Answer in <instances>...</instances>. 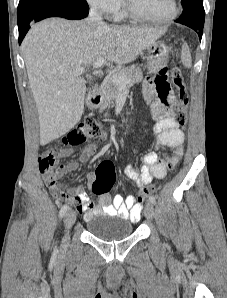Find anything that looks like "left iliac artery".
I'll use <instances>...</instances> for the list:
<instances>
[{
    "instance_id": "44dca946",
    "label": "left iliac artery",
    "mask_w": 227,
    "mask_h": 298,
    "mask_svg": "<svg viewBox=\"0 0 227 298\" xmlns=\"http://www.w3.org/2000/svg\"><path fill=\"white\" fill-rule=\"evenodd\" d=\"M149 201H150L152 204H155L156 199H155L154 196H150V197H149Z\"/></svg>"
}]
</instances>
